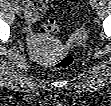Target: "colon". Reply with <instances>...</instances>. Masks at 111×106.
Returning a JSON list of instances; mask_svg holds the SVG:
<instances>
[{
  "mask_svg": "<svg viewBox=\"0 0 111 106\" xmlns=\"http://www.w3.org/2000/svg\"><path fill=\"white\" fill-rule=\"evenodd\" d=\"M59 30V24L53 18L46 19L40 26L39 32L43 36L55 34ZM74 63V55L69 52L59 54L52 63L54 68H67Z\"/></svg>",
  "mask_w": 111,
  "mask_h": 106,
  "instance_id": "obj_1",
  "label": "colon"
}]
</instances>
